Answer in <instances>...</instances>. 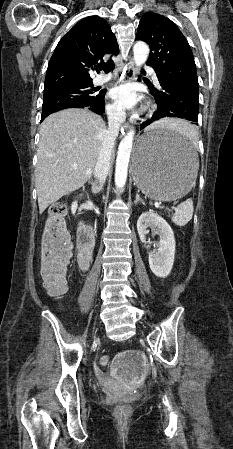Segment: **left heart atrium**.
Instances as JSON below:
<instances>
[{
  "label": "left heart atrium",
  "mask_w": 233,
  "mask_h": 449,
  "mask_svg": "<svg viewBox=\"0 0 233 449\" xmlns=\"http://www.w3.org/2000/svg\"><path fill=\"white\" fill-rule=\"evenodd\" d=\"M109 96L115 102V104L122 109H130L136 106L138 102V96L135 89L128 84H122L113 87Z\"/></svg>",
  "instance_id": "39dd6f15"
}]
</instances>
